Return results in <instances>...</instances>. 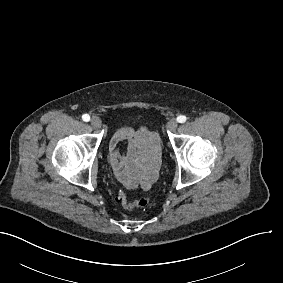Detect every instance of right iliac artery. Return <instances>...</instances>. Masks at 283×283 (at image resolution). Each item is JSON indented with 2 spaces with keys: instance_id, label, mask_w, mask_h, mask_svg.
Wrapping results in <instances>:
<instances>
[{
  "instance_id": "right-iliac-artery-1",
  "label": "right iliac artery",
  "mask_w": 283,
  "mask_h": 283,
  "mask_svg": "<svg viewBox=\"0 0 283 283\" xmlns=\"http://www.w3.org/2000/svg\"><path fill=\"white\" fill-rule=\"evenodd\" d=\"M82 119L85 121V122H88L90 120V116L88 114H84L82 116Z\"/></svg>"
}]
</instances>
